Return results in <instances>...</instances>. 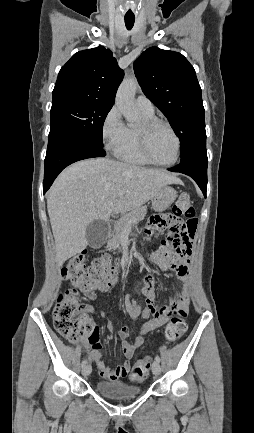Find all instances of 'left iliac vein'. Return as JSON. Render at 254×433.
I'll use <instances>...</instances> for the list:
<instances>
[{
	"label": "left iliac vein",
	"instance_id": "obj_1",
	"mask_svg": "<svg viewBox=\"0 0 254 433\" xmlns=\"http://www.w3.org/2000/svg\"><path fill=\"white\" fill-rule=\"evenodd\" d=\"M152 371H153V373L155 375H159L160 374V372H161V366H160L159 362H157V361L153 362Z\"/></svg>",
	"mask_w": 254,
	"mask_h": 433
}]
</instances>
